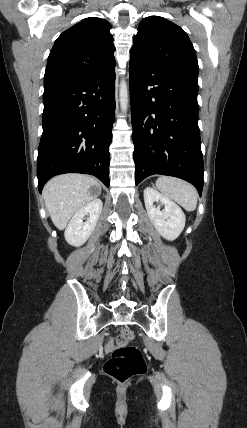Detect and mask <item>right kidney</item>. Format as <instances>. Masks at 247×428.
Returning a JSON list of instances; mask_svg holds the SVG:
<instances>
[{"instance_id":"1","label":"right kidney","mask_w":247,"mask_h":428,"mask_svg":"<svg viewBox=\"0 0 247 428\" xmlns=\"http://www.w3.org/2000/svg\"><path fill=\"white\" fill-rule=\"evenodd\" d=\"M102 206L100 199H93L75 213L64 233L68 244L79 247L87 241L97 224ZM88 215L87 221L84 222Z\"/></svg>"}]
</instances>
